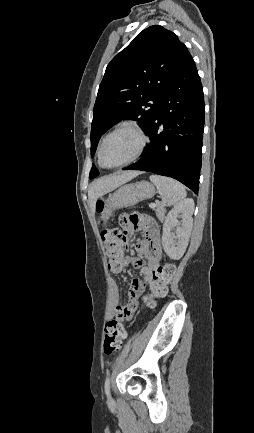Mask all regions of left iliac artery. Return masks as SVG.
Segmentation results:
<instances>
[{"label": "left iliac artery", "instance_id": "obj_1", "mask_svg": "<svg viewBox=\"0 0 254 433\" xmlns=\"http://www.w3.org/2000/svg\"><path fill=\"white\" fill-rule=\"evenodd\" d=\"M105 393L107 396H110V376L105 380Z\"/></svg>", "mask_w": 254, "mask_h": 433}]
</instances>
